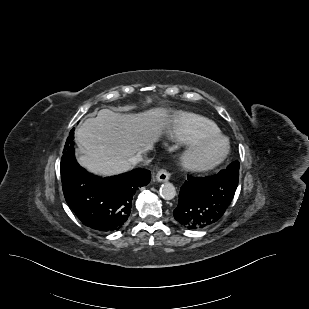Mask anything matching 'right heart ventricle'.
Returning a JSON list of instances; mask_svg holds the SVG:
<instances>
[{"instance_id":"right-heart-ventricle-1","label":"right heart ventricle","mask_w":309,"mask_h":309,"mask_svg":"<svg viewBox=\"0 0 309 309\" xmlns=\"http://www.w3.org/2000/svg\"><path fill=\"white\" fill-rule=\"evenodd\" d=\"M219 134V128L212 121L192 113H183L173 122L168 132L170 139L187 143L198 137Z\"/></svg>"}]
</instances>
